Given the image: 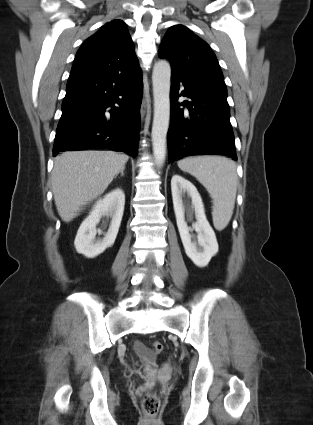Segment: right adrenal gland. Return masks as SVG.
<instances>
[{
	"label": "right adrenal gland",
	"instance_id": "1",
	"mask_svg": "<svg viewBox=\"0 0 313 425\" xmlns=\"http://www.w3.org/2000/svg\"><path fill=\"white\" fill-rule=\"evenodd\" d=\"M124 170H125V167H123L116 175H115V178H117V176L120 174L121 175V177H123L124 176Z\"/></svg>",
	"mask_w": 313,
	"mask_h": 425
}]
</instances>
